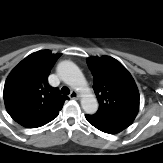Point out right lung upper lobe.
I'll return each mask as SVG.
<instances>
[{"instance_id":"obj_1","label":"right lung upper lobe","mask_w":163,"mask_h":163,"mask_svg":"<svg viewBox=\"0 0 163 163\" xmlns=\"http://www.w3.org/2000/svg\"><path fill=\"white\" fill-rule=\"evenodd\" d=\"M60 56L49 50L37 51L23 59L9 74L4 86V102L16 122L50 118L58 114L69 99L47 81Z\"/></svg>"}]
</instances>
